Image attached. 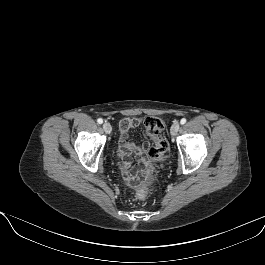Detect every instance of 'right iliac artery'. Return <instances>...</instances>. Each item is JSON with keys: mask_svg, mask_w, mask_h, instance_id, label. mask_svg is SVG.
<instances>
[{"mask_svg": "<svg viewBox=\"0 0 265 265\" xmlns=\"http://www.w3.org/2000/svg\"><path fill=\"white\" fill-rule=\"evenodd\" d=\"M97 122H98L99 124H102V123H103V119H102V118H99V119L97 120Z\"/></svg>", "mask_w": 265, "mask_h": 265, "instance_id": "1", "label": "right iliac artery"}]
</instances>
